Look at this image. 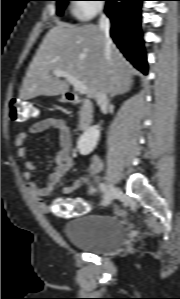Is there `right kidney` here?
I'll return each mask as SVG.
<instances>
[{"label":"right kidney","mask_w":180,"mask_h":299,"mask_svg":"<svg viewBox=\"0 0 180 299\" xmlns=\"http://www.w3.org/2000/svg\"><path fill=\"white\" fill-rule=\"evenodd\" d=\"M100 137L97 125L89 127L79 138L77 147L81 155L90 154L96 147Z\"/></svg>","instance_id":"right-kidney-1"}]
</instances>
